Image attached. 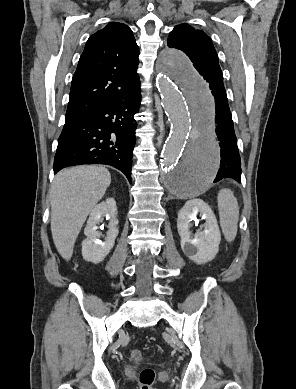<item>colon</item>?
Instances as JSON below:
<instances>
[{
  "mask_svg": "<svg viewBox=\"0 0 296 389\" xmlns=\"http://www.w3.org/2000/svg\"><path fill=\"white\" fill-rule=\"evenodd\" d=\"M130 356L135 361H143L144 357L141 351L134 349ZM155 381V371L151 368H144L139 374L140 389H152Z\"/></svg>",
  "mask_w": 296,
  "mask_h": 389,
  "instance_id": "colon-1",
  "label": "colon"
}]
</instances>
